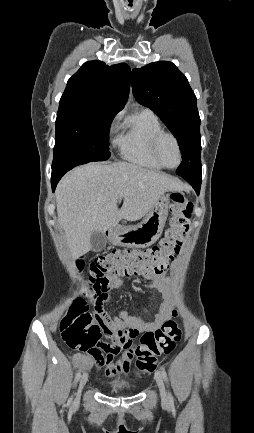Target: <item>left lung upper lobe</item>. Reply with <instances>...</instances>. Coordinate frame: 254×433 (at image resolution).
Here are the masks:
<instances>
[{
	"mask_svg": "<svg viewBox=\"0 0 254 433\" xmlns=\"http://www.w3.org/2000/svg\"><path fill=\"white\" fill-rule=\"evenodd\" d=\"M136 100L149 107L175 135L183 159L176 173L201 177L200 117L187 78L171 62L150 63L131 74Z\"/></svg>",
	"mask_w": 254,
	"mask_h": 433,
	"instance_id": "1",
	"label": "left lung upper lobe"
}]
</instances>
